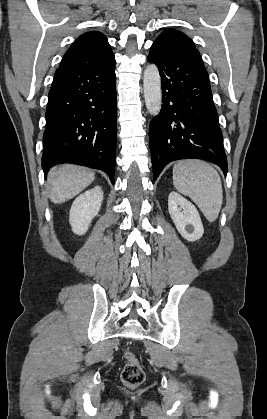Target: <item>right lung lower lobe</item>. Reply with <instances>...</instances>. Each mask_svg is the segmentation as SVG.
<instances>
[{
  "label": "right lung lower lobe",
  "mask_w": 267,
  "mask_h": 419,
  "mask_svg": "<svg viewBox=\"0 0 267 419\" xmlns=\"http://www.w3.org/2000/svg\"><path fill=\"white\" fill-rule=\"evenodd\" d=\"M115 61L59 67L49 91L42 168L73 163L106 172L114 184L117 137Z\"/></svg>",
  "instance_id": "1"
}]
</instances>
